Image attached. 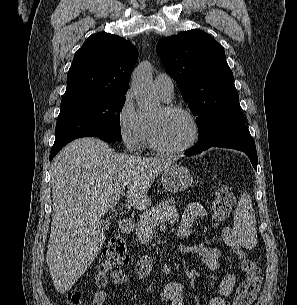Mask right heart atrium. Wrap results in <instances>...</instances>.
<instances>
[{
	"instance_id": "obj_1",
	"label": "right heart atrium",
	"mask_w": 297,
	"mask_h": 305,
	"mask_svg": "<svg viewBox=\"0 0 297 305\" xmlns=\"http://www.w3.org/2000/svg\"><path fill=\"white\" fill-rule=\"evenodd\" d=\"M119 136L129 152H137L142 147L146 130L143 115L136 108L132 92L128 90L117 111Z\"/></svg>"
}]
</instances>
